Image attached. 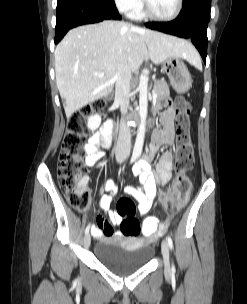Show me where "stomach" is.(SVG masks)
Here are the masks:
<instances>
[{
	"label": "stomach",
	"instance_id": "0dacf381",
	"mask_svg": "<svg viewBox=\"0 0 247 304\" xmlns=\"http://www.w3.org/2000/svg\"><path fill=\"white\" fill-rule=\"evenodd\" d=\"M163 69L167 73L171 86L178 93L188 91L192 86V78L185 63L180 57L168 58L163 63Z\"/></svg>",
	"mask_w": 247,
	"mask_h": 304
}]
</instances>
